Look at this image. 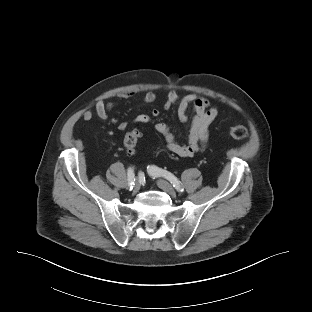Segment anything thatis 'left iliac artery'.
I'll return each instance as SVG.
<instances>
[{
  "mask_svg": "<svg viewBox=\"0 0 312 312\" xmlns=\"http://www.w3.org/2000/svg\"><path fill=\"white\" fill-rule=\"evenodd\" d=\"M148 173L153 176V177H164L167 180H169L172 184L173 187H175V189H177L178 191L182 192L183 191V187L180 183V181L170 172L163 170L159 167L156 166H148Z\"/></svg>",
  "mask_w": 312,
  "mask_h": 312,
  "instance_id": "44dca946",
  "label": "left iliac artery"
}]
</instances>
